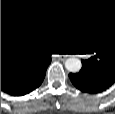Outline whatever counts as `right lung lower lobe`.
Segmentation results:
<instances>
[{
    "mask_svg": "<svg viewBox=\"0 0 115 114\" xmlns=\"http://www.w3.org/2000/svg\"><path fill=\"white\" fill-rule=\"evenodd\" d=\"M50 61V58L47 57L44 62L28 68L20 74H2L1 90L12 96L30 93L43 82Z\"/></svg>",
    "mask_w": 115,
    "mask_h": 114,
    "instance_id": "obj_1",
    "label": "right lung lower lobe"
}]
</instances>
